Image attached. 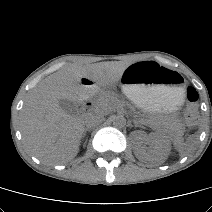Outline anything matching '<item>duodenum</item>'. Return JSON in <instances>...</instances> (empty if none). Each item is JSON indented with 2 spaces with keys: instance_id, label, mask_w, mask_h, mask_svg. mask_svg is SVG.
<instances>
[{
  "instance_id": "duodenum-1",
  "label": "duodenum",
  "mask_w": 212,
  "mask_h": 212,
  "mask_svg": "<svg viewBox=\"0 0 212 212\" xmlns=\"http://www.w3.org/2000/svg\"><path fill=\"white\" fill-rule=\"evenodd\" d=\"M91 89H92V85H90V83L83 85V91L85 92V94H87ZM92 108H93L92 101L89 100L88 98H85L82 102L83 111L85 113H89L91 112Z\"/></svg>"
}]
</instances>
